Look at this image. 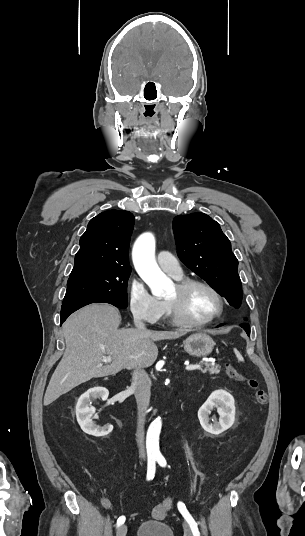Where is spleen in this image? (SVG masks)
Masks as SVG:
<instances>
[{
	"mask_svg": "<svg viewBox=\"0 0 305 536\" xmlns=\"http://www.w3.org/2000/svg\"><path fill=\"white\" fill-rule=\"evenodd\" d=\"M234 354H235L237 360H239V362H244L243 356H241L240 352H238V350H236V348H234Z\"/></svg>",
	"mask_w": 305,
	"mask_h": 536,
	"instance_id": "spleen-1",
	"label": "spleen"
}]
</instances>
